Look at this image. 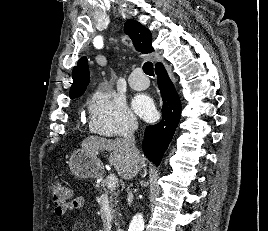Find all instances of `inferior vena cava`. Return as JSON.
<instances>
[{
	"mask_svg": "<svg viewBox=\"0 0 268 231\" xmlns=\"http://www.w3.org/2000/svg\"><path fill=\"white\" fill-rule=\"evenodd\" d=\"M138 128L137 123L132 124L127 131L124 134V142L125 146L130 152L131 158L133 162H138L140 159V152L135 146V137H134V131Z\"/></svg>",
	"mask_w": 268,
	"mask_h": 231,
	"instance_id": "inferior-vena-cava-1",
	"label": "inferior vena cava"
}]
</instances>
